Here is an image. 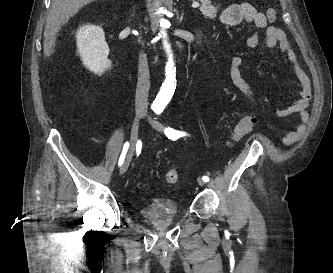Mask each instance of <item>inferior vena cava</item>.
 <instances>
[{
	"label": "inferior vena cava",
	"mask_w": 333,
	"mask_h": 273,
	"mask_svg": "<svg viewBox=\"0 0 333 273\" xmlns=\"http://www.w3.org/2000/svg\"><path fill=\"white\" fill-rule=\"evenodd\" d=\"M150 86V75L146 54H139L138 83L135 96L136 113L146 112L148 106V93Z\"/></svg>",
	"instance_id": "602c4592"
}]
</instances>
